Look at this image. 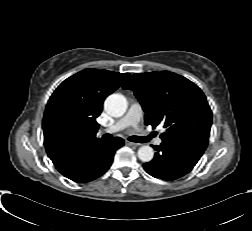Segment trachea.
Here are the masks:
<instances>
[{
	"label": "trachea",
	"mask_w": 252,
	"mask_h": 231,
	"mask_svg": "<svg viewBox=\"0 0 252 231\" xmlns=\"http://www.w3.org/2000/svg\"><path fill=\"white\" fill-rule=\"evenodd\" d=\"M112 138L111 134H104L103 135V139L104 140H110ZM129 141L131 142H137V143H144L147 141L146 137H141V136H130L128 138Z\"/></svg>",
	"instance_id": "trachea-1"
}]
</instances>
